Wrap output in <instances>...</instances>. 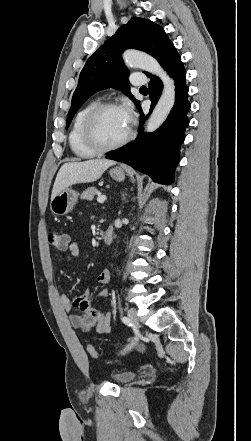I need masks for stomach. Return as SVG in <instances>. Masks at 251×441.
Wrapping results in <instances>:
<instances>
[{"label":"stomach","mask_w":251,"mask_h":441,"mask_svg":"<svg viewBox=\"0 0 251 441\" xmlns=\"http://www.w3.org/2000/svg\"><path fill=\"white\" fill-rule=\"evenodd\" d=\"M110 176L117 182L125 179V172L120 167H114L110 171ZM78 194L75 190L67 188L51 199L50 209L54 215H64L70 212L76 205Z\"/></svg>","instance_id":"obj_1"}]
</instances>
